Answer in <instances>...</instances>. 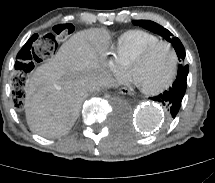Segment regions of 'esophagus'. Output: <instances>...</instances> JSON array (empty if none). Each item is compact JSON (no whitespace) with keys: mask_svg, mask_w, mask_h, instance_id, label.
<instances>
[{"mask_svg":"<svg viewBox=\"0 0 215 183\" xmlns=\"http://www.w3.org/2000/svg\"><path fill=\"white\" fill-rule=\"evenodd\" d=\"M131 91H132V89L129 88L128 86H122L120 88V93L121 94L131 95L132 94Z\"/></svg>","mask_w":215,"mask_h":183,"instance_id":"34e87169","label":"esophagus"}]
</instances>
